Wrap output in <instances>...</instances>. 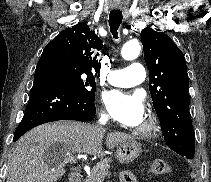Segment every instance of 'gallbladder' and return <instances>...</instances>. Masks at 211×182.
Returning <instances> with one entry per match:
<instances>
[{"label": "gallbladder", "mask_w": 211, "mask_h": 182, "mask_svg": "<svg viewBox=\"0 0 211 182\" xmlns=\"http://www.w3.org/2000/svg\"><path fill=\"white\" fill-rule=\"evenodd\" d=\"M60 146L59 144H55L54 146L50 147L44 154V159H50L52 155H54L56 152V147Z\"/></svg>", "instance_id": "gallbladder-1"}]
</instances>
